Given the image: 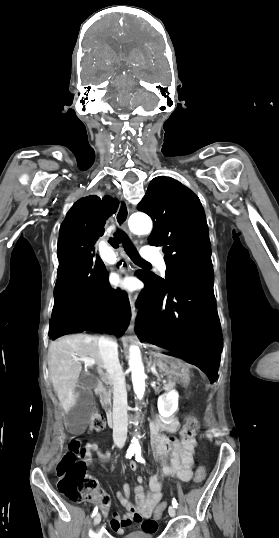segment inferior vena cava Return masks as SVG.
<instances>
[{
  "instance_id": "obj_1",
  "label": "inferior vena cava",
  "mask_w": 279,
  "mask_h": 538,
  "mask_svg": "<svg viewBox=\"0 0 279 538\" xmlns=\"http://www.w3.org/2000/svg\"><path fill=\"white\" fill-rule=\"evenodd\" d=\"M115 335H102L98 341L100 354L104 359V368L110 374V380L114 385V404H113V438L116 445L122 447L127 438V393L123 376L119 373L117 341Z\"/></svg>"
}]
</instances>
